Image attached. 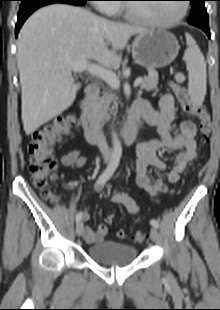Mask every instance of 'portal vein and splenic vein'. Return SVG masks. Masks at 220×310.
I'll return each instance as SVG.
<instances>
[{"mask_svg":"<svg viewBox=\"0 0 220 310\" xmlns=\"http://www.w3.org/2000/svg\"><path fill=\"white\" fill-rule=\"evenodd\" d=\"M71 67L74 72L81 73L83 71H87L89 74L103 79L113 89L119 88L120 82L116 74L104 67L89 63L87 61L73 62ZM142 81L143 79L141 77L137 78L134 82V87H138Z\"/></svg>","mask_w":220,"mask_h":310,"instance_id":"obj_1","label":"portal vein and splenic vein"}]
</instances>
